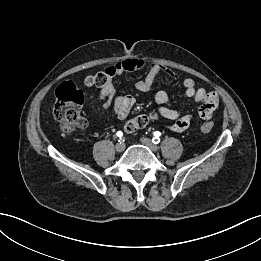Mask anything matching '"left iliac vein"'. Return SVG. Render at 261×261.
I'll return each instance as SVG.
<instances>
[{"label": "left iliac vein", "mask_w": 261, "mask_h": 261, "mask_svg": "<svg viewBox=\"0 0 261 261\" xmlns=\"http://www.w3.org/2000/svg\"><path fill=\"white\" fill-rule=\"evenodd\" d=\"M140 141L153 152H156L158 150V146L155 145L149 138L142 137Z\"/></svg>", "instance_id": "1"}]
</instances>
